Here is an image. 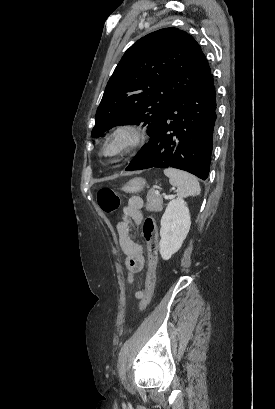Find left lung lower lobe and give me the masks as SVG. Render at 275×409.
Here are the masks:
<instances>
[{"label": "left lung lower lobe", "instance_id": "0a47b994", "mask_svg": "<svg viewBox=\"0 0 275 409\" xmlns=\"http://www.w3.org/2000/svg\"><path fill=\"white\" fill-rule=\"evenodd\" d=\"M216 91L210 72L189 87L162 117L126 171L173 167L205 180L215 134Z\"/></svg>", "mask_w": 275, "mask_h": 409}]
</instances>
